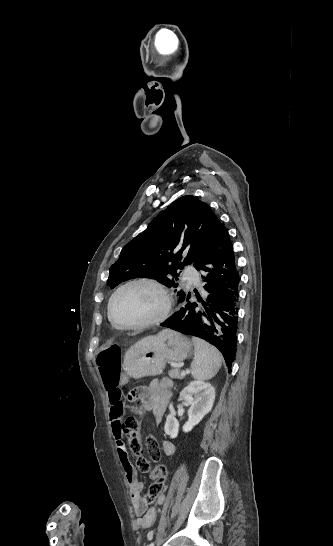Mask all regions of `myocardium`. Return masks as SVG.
Instances as JSON below:
<instances>
[{"label": "myocardium", "mask_w": 333, "mask_h": 546, "mask_svg": "<svg viewBox=\"0 0 333 546\" xmlns=\"http://www.w3.org/2000/svg\"><path fill=\"white\" fill-rule=\"evenodd\" d=\"M133 285H145L150 286L157 290L161 297H162V307L160 311L152 318L145 320L143 322L133 324V325H121L119 324L113 315V304L116 299V297L119 295L121 291L124 289L133 286ZM172 309V298L170 296V293L166 289V287L159 281L152 279V278H134L130 279L123 284H121L111 295L108 306H107V315L111 322V324L119 330H128V331H136V330H143L147 329L156 325H159L163 323L170 315Z\"/></svg>", "instance_id": "1"}]
</instances>
